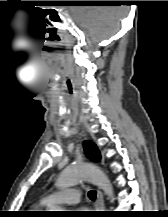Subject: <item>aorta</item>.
I'll list each match as a JSON object with an SVG mask.
<instances>
[{
    "label": "aorta",
    "mask_w": 168,
    "mask_h": 217,
    "mask_svg": "<svg viewBox=\"0 0 168 217\" xmlns=\"http://www.w3.org/2000/svg\"><path fill=\"white\" fill-rule=\"evenodd\" d=\"M82 181H89L97 185L104 191L109 199H113V187L109 178L100 168L91 163L68 166L60 174L56 185L59 188H68Z\"/></svg>",
    "instance_id": "1"
}]
</instances>
